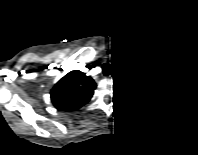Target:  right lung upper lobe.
<instances>
[{
    "instance_id": "1",
    "label": "right lung upper lobe",
    "mask_w": 198,
    "mask_h": 155,
    "mask_svg": "<svg viewBox=\"0 0 198 155\" xmlns=\"http://www.w3.org/2000/svg\"><path fill=\"white\" fill-rule=\"evenodd\" d=\"M96 83L80 71H71L60 79L51 91L53 105L60 110H77L94 94Z\"/></svg>"
}]
</instances>
